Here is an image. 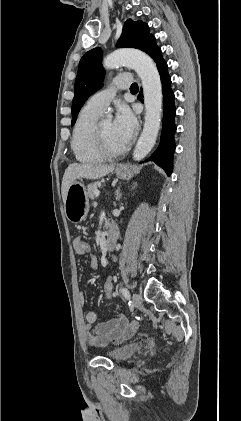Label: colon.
<instances>
[{
	"label": "colon",
	"mask_w": 241,
	"mask_h": 421,
	"mask_svg": "<svg viewBox=\"0 0 241 421\" xmlns=\"http://www.w3.org/2000/svg\"><path fill=\"white\" fill-rule=\"evenodd\" d=\"M76 252L81 255H87L91 252V245L89 244V242L81 240L76 246ZM102 290H103L104 296L108 300H111L113 298L114 288H113V282L110 277L105 278L103 282Z\"/></svg>",
	"instance_id": "5ec220e1"
}]
</instances>
